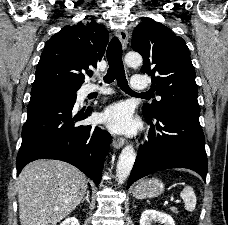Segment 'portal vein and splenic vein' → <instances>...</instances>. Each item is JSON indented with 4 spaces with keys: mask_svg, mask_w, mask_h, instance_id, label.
Wrapping results in <instances>:
<instances>
[{
    "mask_svg": "<svg viewBox=\"0 0 228 225\" xmlns=\"http://www.w3.org/2000/svg\"><path fill=\"white\" fill-rule=\"evenodd\" d=\"M169 202H172L173 205H180V200H175L174 197H169V199H164L163 200V207H168Z\"/></svg>",
    "mask_w": 228,
    "mask_h": 225,
    "instance_id": "portal-vein-and-splenic-vein-1",
    "label": "portal vein and splenic vein"
}]
</instances>
